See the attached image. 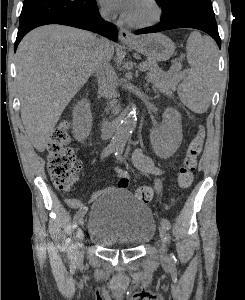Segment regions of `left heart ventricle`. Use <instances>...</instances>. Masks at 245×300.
Segmentation results:
<instances>
[{
	"mask_svg": "<svg viewBox=\"0 0 245 300\" xmlns=\"http://www.w3.org/2000/svg\"><path fill=\"white\" fill-rule=\"evenodd\" d=\"M154 11L147 0H137L129 13L128 19L136 22H145L150 20Z\"/></svg>",
	"mask_w": 245,
	"mask_h": 300,
	"instance_id": "left-heart-ventricle-1",
	"label": "left heart ventricle"
}]
</instances>
